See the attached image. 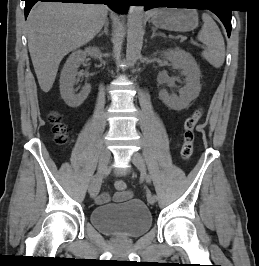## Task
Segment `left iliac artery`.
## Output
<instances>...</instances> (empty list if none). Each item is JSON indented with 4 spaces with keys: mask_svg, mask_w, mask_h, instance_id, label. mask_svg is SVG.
Masks as SVG:
<instances>
[{
    "mask_svg": "<svg viewBox=\"0 0 259 266\" xmlns=\"http://www.w3.org/2000/svg\"><path fill=\"white\" fill-rule=\"evenodd\" d=\"M150 181H151V178H150V176L148 175V176H147V182L150 183ZM152 198H154V200H157V199H158V196H156V194H152Z\"/></svg>",
    "mask_w": 259,
    "mask_h": 266,
    "instance_id": "44dca946",
    "label": "left iliac artery"
}]
</instances>
